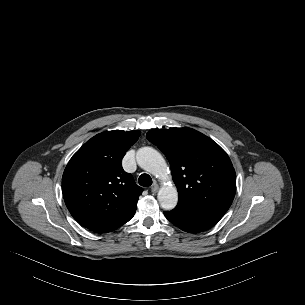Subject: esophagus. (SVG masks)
I'll list each match as a JSON object with an SVG mask.
<instances>
[{"instance_id":"esophagus-1","label":"esophagus","mask_w":305,"mask_h":305,"mask_svg":"<svg viewBox=\"0 0 305 305\" xmlns=\"http://www.w3.org/2000/svg\"><path fill=\"white\" fill-rule=\"evenodd\" d=\"M159 190V186L157 183H154L152 186H151V192L152 193H157Z\"/></svg>"}]
</instances>
